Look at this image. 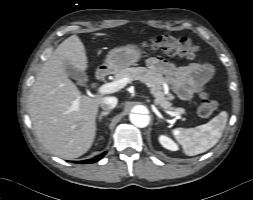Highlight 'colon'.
<instances>
[{
	"label": "colon",
	"instance_id": "1",
	"mask_svg": "<svg viewBox=\"0 0 253 200\" xmlns=\"http://www.w3.org/2000/svg\"><path fill=\"white\" fill-rule=\"evenodd\" d=\"M144 47L160 51L168 56H181L194 60L198 54V46L186 37L160 35L144 43ZM217 109V102L206 93L200 94L198 113L202 118H210Z\"/></svg>",
	"mask_w": 253,
	"mask_h": 200
}]
</instances>
